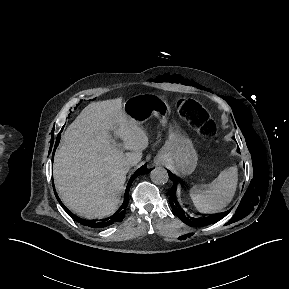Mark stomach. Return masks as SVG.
Returning <instances> with one entry per match:
<instances>
[{
  "label": "stomach",
  "instance_id": "0dacf381",
  "mask_svg": "<svg viewBox=\"0 0 289 289\" xmlns=\"http://www.w3.org/2000/svg\"><path fill=\"white\" fill-rule=\"evenodd\" d=\"M124 111L138 124L151 116L166 121L170 114L168 103L153 95H136L123 104ZM165 157L169 164L180 174H191L197 165V152L189 137L178 127L171 126L169 139L165 149Z\"/></svg>",
  "mask_w": 289,
  "mask_h": 289
}]
</instances>
